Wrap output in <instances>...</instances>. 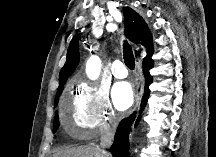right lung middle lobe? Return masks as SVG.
I'll return each mask as SVG.
<instances>
[{"label": "right lung middle lobe", "instance_id": "1", "mask_svg": "<svg viewBox=\"0 0 216 157\" xmlns=\"http://www.w3.org/2000/svg\"><path fill=\"white\" fill-rule=\"evenodd\" d=\"M60 93H61V92H59V94H60ZM58 99H59V96L56 97L54 107L57 106V104H58ZM58 127H59L58 112H56L55 119H54V132L57 130Z\"/></svg>", "mask_w": 216, "mask_h": 157}]
</instances>
